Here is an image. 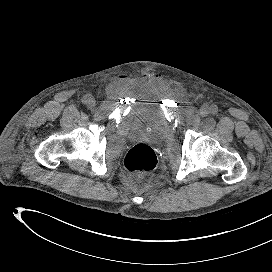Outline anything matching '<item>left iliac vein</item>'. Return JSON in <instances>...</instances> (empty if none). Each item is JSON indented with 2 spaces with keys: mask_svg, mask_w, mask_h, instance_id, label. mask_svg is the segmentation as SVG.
Returning <instances> with one entry per match:
<instances>
[{
  "mask_svg": "<svg viewBox=\"0 0 272 272\" xmlns=\"http://www.w3.org/2000/svg\"><path fill=\"white\" fill-rule=\"evenodd\" d=\"M208 114H209V108L207 106L202 107L201 110H200V115L202 117H204V116H206Z\"/></svg>",
  "mask_w": 272,
  "mask_h": 272,
  "instance_id": "left-iliac-vein-1",
  "label": "left iliac vein"
}]
</instances>
